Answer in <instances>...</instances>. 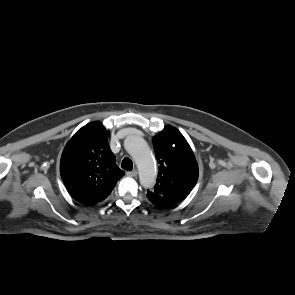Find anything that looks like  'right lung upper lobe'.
<instances>
[{
  "label": "right lung upper lobe",
  "mask_w": 295,
  "mask_h": 295,
  "mask_svg": "<svg viewBox=\"0 0 295 295\" xmlns=\"http://www.w3.org/2000/svg\"><path fill=\"white\" fill-rule=\"evenodd\" d=\"M110 133L99 121L88 123L64 148L60 173L70 195L92 206L107 198L124 171L108 145Z\"/></svg>",
  "instance_id": "obj_1"
}]
</instances>
